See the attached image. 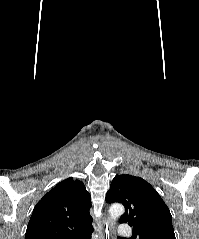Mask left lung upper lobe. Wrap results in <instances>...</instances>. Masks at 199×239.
I'll list each match as a JSON object with an SVG mask.
<instances>
[{"instance_id": "5c2ea615", "label": "left lung upper lobe", "mask_w": 199, "mask_h": 239, "mask_svg": "<svg viewBox=\"0 0 199 239\" xmlns=\"http://www.w3.org/2000/svg\"><path fill=\"white\" fill-rule=\"evenodd\" d=\"M106 202L122 203L125 213L120 223L133 226V239H176L171 213L145 180L132 175H117L106 194Z\"/></svg>"}]
</instances>
